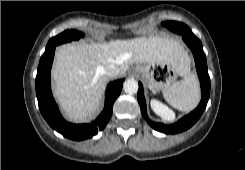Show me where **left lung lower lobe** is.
Wrapping results in <instances>:
<instances>
[{"label":"left lung lower lobe","mask_w":245,"mask_h":170,"mask_svg":"<svg viewBox=\"0 0 245 170\" xmlns=\"http://www.w3.org/2000/svg\"><path fill=\"white\" fill-rule=\"evenodd\" d=\"M180 31H181L180 34L183 36V40L191 49L194 55L196 69L200 79L201 92H202V99L199 106L193 112H191L187 116H184L175 124L165 125L162 123H154L149 119L146 110V102L143 93V86L140 82H139V90L137 95L142 116L146 119V121L150 124L151 127L165 134H175L190 128L204 112L210 95V78L208 75L206 56L203 52L202 43L192 33V31L188 26H184L183 28H180Z\"/></svg>","instance_id":"1"}]
</instances>
